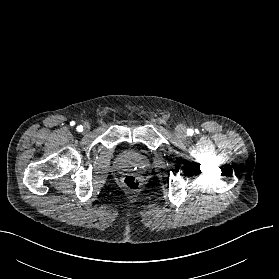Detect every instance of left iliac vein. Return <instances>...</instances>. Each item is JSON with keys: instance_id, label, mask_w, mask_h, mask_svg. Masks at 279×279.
I'll use <instances>...</instances> for the list:
<instances>
[{"instance_id": "4c4485c4", "label": "left iliac vein", "mask_w": 279, "mask_h": 279, "mask_svg": "<svg viewBox=\"0 0 279 279\" xmlns=\"http://www.w3.org/2000/svg\"><path fill=\"white\" fill-rule=\"evenodd\" d=\"M175 133L180 138H186V129L182 125H178L175 129Z\"/></svg>"}]
</instances>
